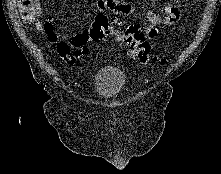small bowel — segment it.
<instances>
[{
  "label": "small bowel",
  "instance_id": "c3829d8e",
  "mask_svg": "<svg viewBox=\"0 0 221 174\" xmlns=\"http://www.w3.org/2000/svg\"><path fill=\"white\" fill-rule=\"evenodd\" d=\"M182 1V0H176ZM97 15L105 14L106 10H110L118 15H134L138 9L135 5L122 2L121 0H96L94 3ZM38 12V16H39ZM179 9L175 5H167L164 8V14L160 15L155 11H148L146 13L147 25L144 31L148 39H153L157 35V28L160 25H174L179 21ZM35 26L39 32L44 34L50 42L55 44L58 55L70 65L76 63L81 57L88 54V47L82 39V33L71 35L68 41L60 40L58 35L53 30V25L50 21H43L38 19ZM71 48L74 50L71 51Z\"/></svg>",
  "mask_w": 221,
  "mask_h": 174
}]
</instances>
